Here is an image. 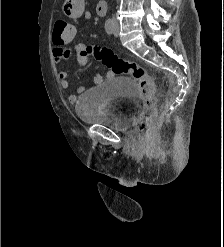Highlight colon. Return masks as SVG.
<instances>
[{"mask_svg": "<svg viewBox=\"0 0 224 247\" xmlns=\"http://www.w3.org/2000/svg\"><path fill=\"white\" fill-rule=\"evenodd\" d=\"M76 35V26L66 20L59 19L54 23V40L71 42ZM79 54L81 58L92 55L114 74H128L133 78L144 98V111L136 125V131L140 134L146 132L155 113V84L146 70L135 62L120 58L111 49L105 47L88 46Z\"/></svg>", "mask_w": 224, "mask_h": 247, "instance_id": "colon-1", "label": "colon"}]
</instances>
